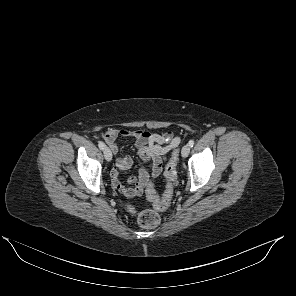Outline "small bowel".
I'll use <instances>...</instances> for the list:
<instances>
[{
	"instance_id": "1",
	"label": "small bowel",
	"mask_w": 296,
	"mask_h": 296,
	"mask_svg": "<svg viewBox=\"0 0 296 296\" xmlns=\"http://www.w3.org/2000/svg\"><path fill=\"white\" fill-rule=\"evenodd\" d=\"M119 137H132L135 139V150L144 163L151 164L152 176L161 173L165 155L175 148L180 139L173 132L167 131L161 134L151 133L145 130H118L110 128L103 134V140L112 154L118 152L117 140ZM166 144V145H163ZM132 160L128 155L116 157L115 166L111 170V182L113 187L127 198L140 195L149 180L146 169H141L137 177H129L124 184L119 177L120 171L131 167Z\"/></svg>"
}]
</instances>
